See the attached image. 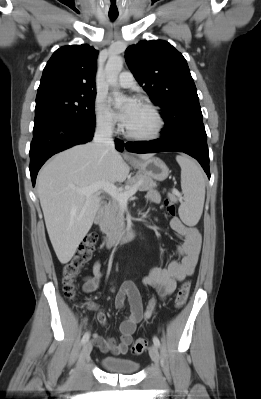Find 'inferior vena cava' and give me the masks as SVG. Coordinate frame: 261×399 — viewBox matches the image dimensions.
<instances>
[{"mask_svg": "<svg viewBox=\"0 0 261 399\" xmlns=\"http://www.w3.org/2000/svg\"><path fill=\"white\" fill-rule=\"evenodd\" d=\"M94 143L101 144L109 150H114L112 127L109 122L100 123L96 127Z\"/></svg>", "mask_w": 261, "mask_h": 399, "instance_id": "1", "label": "inferior vena cava"}]
</instances>
